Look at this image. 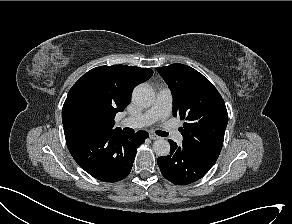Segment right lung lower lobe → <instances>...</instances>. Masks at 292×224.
<instances>
[{
	"instance_id": "right-lung-lower-lobe-1",
	"label": "right lung lower lobe",
	"mask_w": 292,
	"mask_h": 224,
	"mask_svg": "<svg viewBox=\"0 0 292 224\" xmlns=\"http://www.w3.org/2000/svg\"><path fill=\"white\" fill-rule=\"evenodd\" d=\"M148 136L145 131L65 134L74 160L88 174L103 182H117L130 173L137 148Z\"/></svg>"
}]
</instances>
